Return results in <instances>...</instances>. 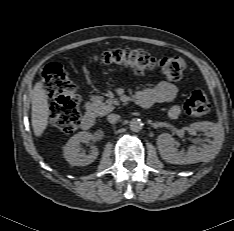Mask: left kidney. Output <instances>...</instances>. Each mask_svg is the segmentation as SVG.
<instances>
[{
  "label": "left kidney",
  "instance_id": "1",
  "mask_svg": "<svg viewBox=\"0 0 234 231\" xmlns=\"http://www.w3.org/2000/svg\"><path fill=\"white\" fill-rule=\"evenodd\" d=\"M198 131H203L212 140H208V144H203L201 147L191 146L184 154L178 152L175 147L174 138L163 133L157 137V146L163 160L171 164H192L199 161L213 158L222 147L224 141V129L220 124L203 121L195 122L190 125V132L196 134Z\"/></svg>",
  "mask_w": 234,
  "mask_h": 231
}]
</instances>
